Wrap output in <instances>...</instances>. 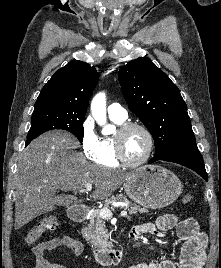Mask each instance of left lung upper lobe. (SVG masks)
Masks as SVG:
<instances>
[{
    "label": "left lung upper lobe",
    "instance_id": "5c2ea615",
    "mask_svg": "<svg viewBox=\"0 0 221 268\" xmlns=\"http://www.w3.org/2000/svg\"><path fill=\"white\" fill-rule=\"evenodd\" d=\"M118 78L129 109L154 138V158L196 142L178 87L149 58L140 57L124 65Z\"/></svg>",
    "mask_w": 221,
    "mask_h": 268
}]
</instances>
